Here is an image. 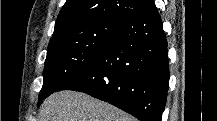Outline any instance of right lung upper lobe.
Returning <instances> with one entry per match:
<instances>
[{
    "label": "right lung upper lobe",
    "instance_id": "right-lung-upper-lobe-1",
    "mask_svg": "<svg viewBox=\"0 0 217 121\" xmlns=\"http://www.w3.org/2000/svg\"><path fill=\"white\" fill-rule=\"evenodd\" d=\"M152 2L153 0H67L58 15L50 42L81 23L99 19L126 22Z\"/></svg>",
    "mask_w": 217,
    "mask_h": 121
}]
</instances>
